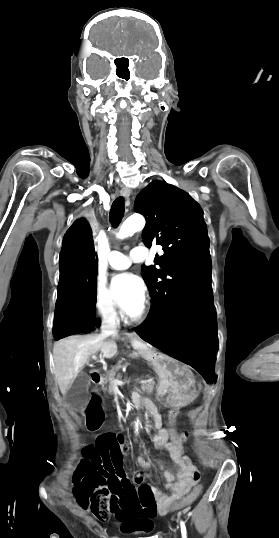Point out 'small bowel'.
I'll return each instance as SVG.
<instances>
[{
	"instance_id": "obj_1",
	"label": "small bowel",
	"mask_w": 279,
	"mask_h": 538,
	"mask_svg": "<svg viewBox=\"0 0 279 538\" xmlns=\"http://www.w3.org/2000/svg\"><path fill=\"white\" fill-rule=\"evenodd\" d=\"M178 409L172 408L169 411L168 417L172 423L177 415ZM153 427L155 433L152 436V442L156 448L166 450L175 466L176 474L165 470L162 464H155L143 457L136 459L137 463L147 469H153L163 473L166 480L165 490L155 488L156 502L159 509L170 504L174 499H178L186 494L195 482L187 480L182 473L180 456L183 451L182 445L178 442V433L172 427H162V417L157 413L153 419ZM119 521H122V530L124 532L143 531L148 532L152 529V517L143 518H128L125 516H116Z\"/></svg>"
}]
</instances>
